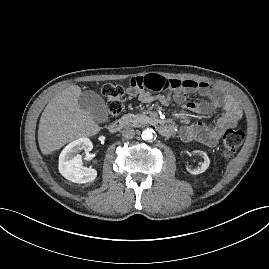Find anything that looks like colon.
<instances>
[{
  "label": "colon",
  "mask_w": 269,
  "mask_h": 269,
  "mask_svg": "<svg viewBox=\"0 0 269 269\" xmlns=\"http://www.w3.org/2000/svg\"><path fill=\"white\" fill-rule=\"evenodd\" d=\"M124 88L119 84H106L102 88V94L106 99L107 108L111 115L115 116L122 111ZM244 132L239 129H228L223 135V157L230 159L242 145Z\"/></svg>",
  "instance_id": "5ec220e1"
}]
</instances>
